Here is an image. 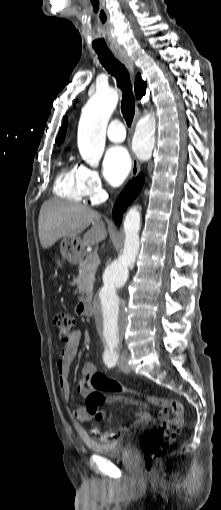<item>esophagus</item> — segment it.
Instances as JSON below:
<instances>
[{
	"instance_id": "esophagus-1",
	"label": "esophagus",
	"mask_w": 221,
	"mask_h": 510,
	"mask_svg": "<svg viewBox=\"0 0 221 510\" xmlns=\"http://www.w3.org/2000/svg\"><path fill=\"white\" fill-rule=\"evenodd\" d=\"M116 56L126 66L128 71L130 72L131 76L134 77L135 76L134 64H133L132 59L129 57V55L126 52H119L116 54ZM136 104H138V101ZM138 117H139V108H138V106H136V115H135V119L133 122V126L135 125V122L138 119ZM139 172H140V164H139L137 158L134 155H132L131 179H135L138 176Z\"/></svg>"
}]
</instances>
